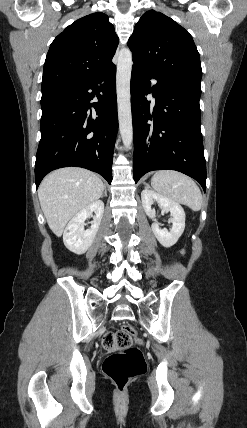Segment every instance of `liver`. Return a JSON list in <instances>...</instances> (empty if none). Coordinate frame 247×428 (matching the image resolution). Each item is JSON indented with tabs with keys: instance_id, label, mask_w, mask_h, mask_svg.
Returning <instances> with one entry per match:
<instances>
[{
	"instance_id": "1",
	"label": "liver",
	"mask_w": 247,
	"mask_h": 428,
	"mask_svg": "<svg viewBox=\"0 0 247 428\" xmlns=\"http://www.w3.org/2000/svg\"><path fill=\"white\" fill-rule=\"evenodd\" d=\"M104 188L95 173L83 168H62L48 174L39 186L38 197L53 233L60 237L68 221L98 200Z\"/></svg>"
}]
</instances>
